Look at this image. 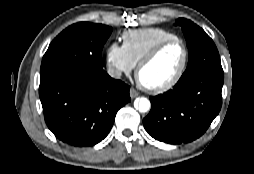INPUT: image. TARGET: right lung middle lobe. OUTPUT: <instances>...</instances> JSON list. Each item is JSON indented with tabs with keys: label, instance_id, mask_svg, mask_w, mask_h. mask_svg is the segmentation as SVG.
<instances>
[{
	"label": "right lung middle lobe",
	"instance_id": "1",
	"mask_svg": "<svg viewBox=\"0 0 254 174\" xmlns=\"http://www.w3.org/2000/svg\"><path fill=\"white\" fill-rule=\"evenodd\" d=\"M112 28L79 22L63 30L49 45L40 69V87L59 78L103 70L101 52Z\"/></svg>",
	"mask_w": 254,
	"mask_h": 174
}]
</instances>
